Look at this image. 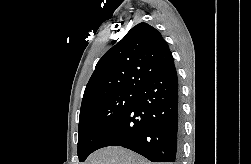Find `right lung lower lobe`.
Wrapping results in <instances>:
<instances>
[{
	"mask_svg": "<svg viewBox=\"0 0 251 164\" xmlns=\"http://www.w3.org/2000/svg\"><path fill=\"white\" fill-rule=\"evenodd\" d=\"M182 120L174 64L138 88L137 99L97 143L95 150L121 146L152 162L180 158Z\"/></svg>",
	"mask_w": 251,
	"mask_h": 164,
	"instance_id": "obj_1",
	"label": "right lung lower lobe"
}]
</instances>
